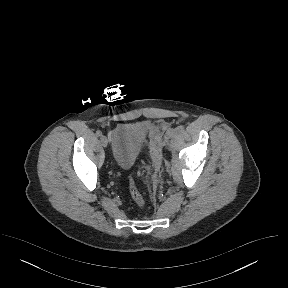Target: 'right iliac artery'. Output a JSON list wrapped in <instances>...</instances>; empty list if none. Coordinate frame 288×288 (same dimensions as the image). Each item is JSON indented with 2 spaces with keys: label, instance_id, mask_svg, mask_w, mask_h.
<instances>
[{
  "label": "right iliac artery",
  "instance_id": "82829eb1",
  "mask_svg": "<svg viewBox=\"0 0 288 288\" xmlns=\"http://www.w3.org/2000/svg\"><path fill=\"white\" fill-rule=\"evenodd\" d=\"M96 136L97 137H101L102 136V132L100 130L96 131Z\"/></svg>",
  "mask_w": 288,
  "mask_h": 288
}]
</instances>
